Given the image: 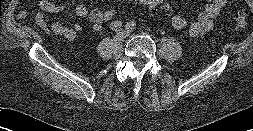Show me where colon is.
<instances>
[{
    "instance_id": "1",
    "label": "colon",
    "mask_w": 253,
    "mask_h": 131,
    "mask_svg": "<svg viewBox=\"0 0 253 131\" xmlns=\"http://www.w3.org/2000/svg\"><path fill=\"white\" fill-rule=\"evenodd\" d=\"M144 6L149 8H156L164 4L163 0H138ZM119 9L117 7H109L103 10L104 22H112L119 15ZM248 13L245 10L236 11L233 18V27L235 29H243L247 26Z\"/></svg>"
}]
</instances>
